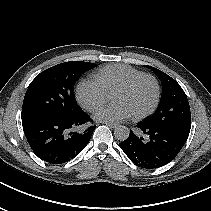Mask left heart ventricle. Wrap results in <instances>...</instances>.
Here are the masks:
<instances>
[{"label": "left heart ventricle", "mask_w": 211, "mask_h": 211, "mask_svg": "<svg viewBox=\"0 0 211 211\" xmlns=\"http://www.w3.org/2000/svg\"><path fill=\"white\" fill-rule=\"evenodd\" d=\"M154 97L153 83L144 79L127 91L113 93L111 100L114 103L124 104L134 114L150 107Z\"/></svg>", "instance_id": "obj_1"}]
</instances>
